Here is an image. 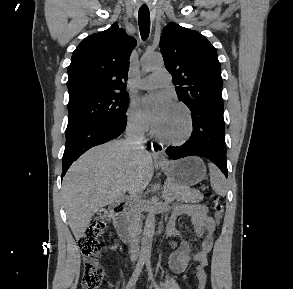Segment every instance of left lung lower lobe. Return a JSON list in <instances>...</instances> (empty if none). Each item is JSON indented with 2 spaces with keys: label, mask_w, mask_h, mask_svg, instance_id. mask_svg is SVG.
<instances>
[{
  "label": "left lung lower lobe",
  "mask_w": 293,
  "mask_h": 289,
  "mask_svg": "<svg viewBox=\"0 0 293 289\" xmlns=\"http://www.w3.org/2000/svg\"><path fill=\"white\" fill-rule=\"evenodd\" d=\"M192 112L193 132L180 147L170 146L166 155L171 159L198 155L211 160L227 177L225 125L223 111L200 107Z\"/></svg>",
  "instance_id": "0a47b994"
}]
</instances>
